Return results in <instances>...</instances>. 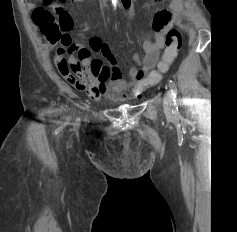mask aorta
Segmentation results:
<instances>
[{"instance_id": "1", "label": "aorta", "mask_w": 237, "mask_h": 232, "mask_svg": "<svg viewBox=\"0 0 237 232\" xmlns=\"http://www.w3.org/2000/svg\"><path fill=\"white\" fill-rule=\"evenodd\" d=\"M112 4H113L114 7H116L117 6V0H112Z\"/></svg>"}]
</instances>
